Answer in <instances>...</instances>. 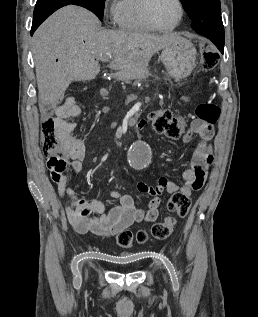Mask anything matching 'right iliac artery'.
<instances>
[{"mask_svg": "<svg viewBox=\"0 0 258 317\" xmlns=\"http://www.w3.org/2000/svg\"><path fill=\"white\" fill-rule=\"evenodd\" d=\"M81 283H82L81 281L74 280V281H73V286H74V288L77 289V290H79L80 287H81Z\"/></svg>", "mask_w": 258, "mask_h": 317, "instance_id": "1", "label": "right iliac artery"}]
</instances>
